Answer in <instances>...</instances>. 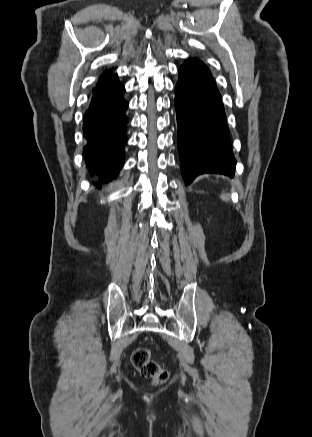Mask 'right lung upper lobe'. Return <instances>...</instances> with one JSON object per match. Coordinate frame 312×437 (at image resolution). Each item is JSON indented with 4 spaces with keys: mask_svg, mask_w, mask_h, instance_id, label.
I'll return each instance as SVG.
<instances>
[{
    "mask_svg": "<svg viewBox=\"0 0 312 437\" xmlns=\"http://www.w3.org/2000/svg\"><path fill=\"white\" fill-rule=\"evenodd\" d=\"M113 76H115L114 74H112V71H106L103 73L102 77L100 78L99 82L97 83V86L107 82L108 80H110Z\"/></svg>",
    "mask_w": 312,
    "mask_h": 437,
    "instance_id": "obj_1",
    "label": "right lung upper lobe"
}]
</instances>
